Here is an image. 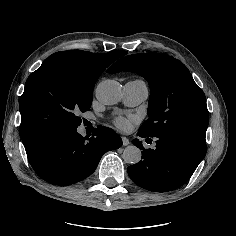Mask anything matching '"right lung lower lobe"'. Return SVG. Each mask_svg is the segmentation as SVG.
Returning a JSON list of instances; mask_svg holds the SVG:
<instances>
[{
	"label": "right lung lower lobe",
	"mask_w": 236,
	"mask_h": 236,
	"mask_svg": "<svg viewBox=\"0 0 236 236\" xmlns=\"http://www.w3.org/2000/svg\"><path fill=\"white\" fill-rule=\"evenodd\" d=\"M121 146L122 140L114 130L97 126L90 138L83 137L77 129L54 133L26 153L42 179L55 185H70L91 175L104 153Z\"/></svg>",
	"instance_id": "obj_1"
}]
</instances>
